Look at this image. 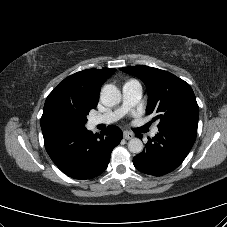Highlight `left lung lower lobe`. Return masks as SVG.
Listing matches in <instances>:
<instances>
[{"label":"left lung lower lobe","instance_id":"left-lung-lower-lobe-1","mask_svg":"<svg viewBox=\"0 0 227 227\" xmlns=\"http://www.w3.org/2000/svg\"><path fill=\"white\" fill-rule=\"evenodd\" d=\"M196 135L184 129L160 128L154 138H148L145 149L133 158V164L145 174L165 175L183 162ZM137 136L142 138V135Z\"/></svg>","mask_w":227,"mask_h":227}]
</instances>
